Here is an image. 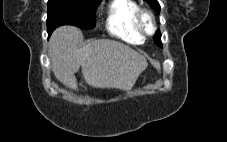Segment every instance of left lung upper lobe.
Masks as SVG:
<instances>
[{
  "label": "left lung upper lobe",
  "mask_w": 227,
  "mask_h": 142,
  "mask_svg": "<svg viewBox=\"0 0 227 142\" xmlns=\"http://www.w3.org/2000/svg\"><path fill=\"white\" fill-rule=\"evenodd\" d=\"M156 11L157 13H160V5L159 3L157 2V0H146ZM154 41L162 46L161 44V33L160 31L157 32L156 36L154 37Z\"/></svg>",
  "instance_id": "5c2ea615"
}]
</instances>
